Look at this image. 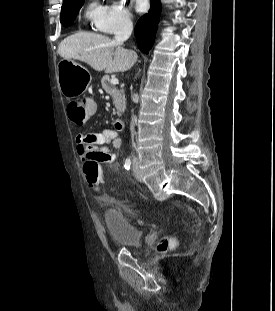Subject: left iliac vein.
Wrapping results in <instances>:
<instances>
[{
  "label": "left iliac vein",
  "instance_id": "4c4485c4",
  "mask_svg": "<svg viewBox=\"0 0 275 311\" xmlns=\"http://www.w3.org/2000/svg\"><path fill=\"white\" fill-rule=\"evenodd\" d=\"M133 172H134V176L136 177L137 180L141 181L142 180V175L139 169V162L138 159H134L133 161Z\"/></svg>",
  "mask_w": 275,
  "mask_h": 311
}]
</instances>
